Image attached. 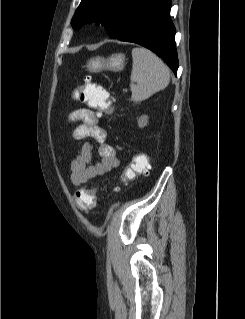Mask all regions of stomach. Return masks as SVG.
Returning <instances> with one entry per match:
<instances>
[{"label":"stomach","instance_id":"stomach-1","mask_svg":"<svg viewBox=\"0 0 245 319\" xmlns=\"http://www.w3.org/2000/svg\"><path fill=\"white\" fill-rule=\"evenodd\" d=\"M125 56L123 54H113L107 60L101 57L93 58L88 63V68L93 72L101 70L120 71L124 68Z\"/></svg>","mask_w":245,"mask_h":319}]
</instances>
